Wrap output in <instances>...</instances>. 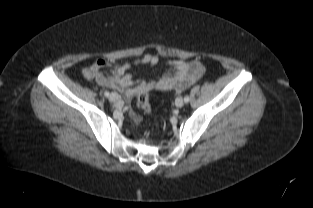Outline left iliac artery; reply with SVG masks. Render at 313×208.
<instances>
[{"mask_svg": "<svg viewBox=\"0 0 313 208\" xmlns=\"http://www.w3.org/2000/svg\"><path fill=\"white\" fill-rule=\"evenodd\" d=\"M189 100H190V98H189L188 96H185V97H184L185 103L189 102Z\"/></svg>", "mask_w": 313, "mask_h": 208, "instance_id": "44dca946", "label": "left iliac artery"}]
</instances>
